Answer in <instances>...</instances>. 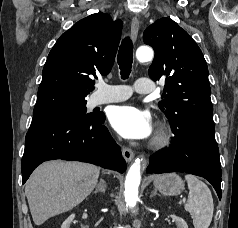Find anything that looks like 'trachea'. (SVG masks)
<instances>
[{"mask_svg": "<svg viewBox=\"0 0 238 228\" xmlns=\"http://www.w3.org/2000/svg\"><path fill=\"white\" fill-rule=\"evenodd\" d=\"M117 61L122 79H127L131 73L133 62V44L129 37L123 39L118 51Z\"/></svg>", "mask_w": 238, "mask_h": 228, "instance_id": "trachea-1", "label": "trachea"}]
</instances>
